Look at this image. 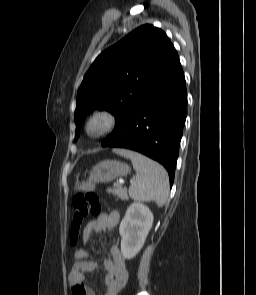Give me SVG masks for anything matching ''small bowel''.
I'll return each instance as SVG.
<instances>
[{"label": "small bowel", "instance_id": "small-bowel-1", "mask_svg": "<svg viewBox=\"0 0 256 295\" xmlns=\"http://www.w3.org/2000/svg\"><path fill=\"white\" fill-rule=\"evenodd\" d=\"M120 220L117 211L104 213L97 219L89 222L83 231V242L88 244L93 234L114 229ZM75 262L68 275L69 285L73 295H95L94 290L85 284V273L93 272L99 265L97 261L89 260V251L81 248L74 253ZM102 265L105 270L104 295H118L128 279L125 259L117 245L111 249V258L104 259Z\"/></svg>", "mask_w": 256, "mask_h": 295}]
</instances>
